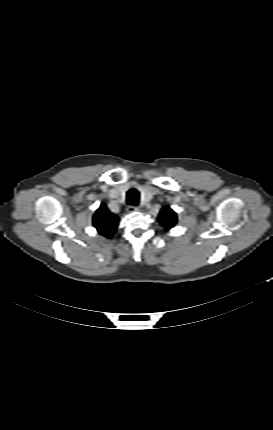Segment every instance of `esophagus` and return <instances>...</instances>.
<instances>
[{
    "instance_id": "1",
    "label": "esophagus",
    "mask_w": 273,
    "mask_h": 430,
    "mask_svg": "<svg viewBox=\"0 0 273 430\" xmlns=\"http://www.w3.org/2000/svg\"><path fill=\"white\" fill-rule=\"evenodd\" d=\"M127 211L129 212V213H135V212H138L139 211V207H137V206H128L127 207Z\"/></svg>"
}]
</instances>
